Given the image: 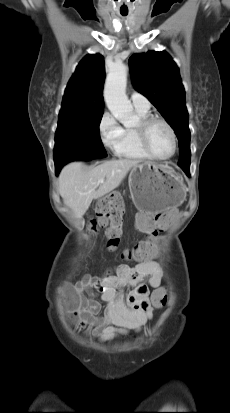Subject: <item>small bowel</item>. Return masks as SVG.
Segmentation results:
<instances>
[{
    "instance_id": "small-bowel-1",
    "label": "small bowel",
    "mask_w": 230,
    "mask_h": 413,
    "mask_svg": "<svg viewBox=\"0 0 230 413\" xmlns=\"http://www.w3.org/2000/svg\"><path fill=\"white\" fill-rule=\"evenodd\" d=\"M178 212L177 205H170L156 218H146L140 211L139 218L134 219V226L139 227V231H166ZM145 215L149 216L150 212L146 211ZM162 276V269L151 259L136 266L118 265L100 278L85 275L67 291V303L73 306L69 310L76 327L86 329L89 336L102 341H111L129 331H140L152 319L153 309L160 308L154 305L153 294H166L165 287L161 285ZM145 278H149V286L153 288L151 295L149 287L143 283ZM127 286L133 290L125 296L123 289ZM98 293L106 303L101 317L98 316L102 310Z\"/></svg>"
}]
</instances>
